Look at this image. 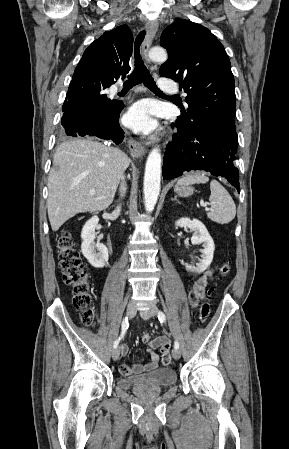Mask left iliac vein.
I'll return each mask as SVG.
<instances>
[{
    "instance_id": "obj_1",
    "label": "left iliac vein",
    "mask_w": 289,
    "mask_h": 449,
    "mask_svg": "<svg viewBox=\"0 0 289 449\" xmlns=\"http://www.w3.org/2000/svg\"><path fill=\"white\" fill-rule=\"evenodd\" d=\"M140 315L142 316L143 319L148 320L149 318L157 315V308H156V306L152 305L148 309L141 310ZM172 356L175 360H178L181 357V353L178 349L174 348L172 350Z\"/></svg>"
}]
</instances>
